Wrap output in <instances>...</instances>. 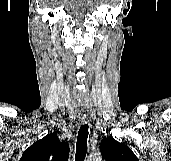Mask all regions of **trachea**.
Segmentation results:
<instances>
[{
	"label": "trachea",
	"instance_id": "3493384b",
	"mask_svg": "<svg viewBox=\"0 0 171 161\" xmlns=\"http://www.w3.org/2000/svg\"><path fill=\"white\" fill-rule=\"evenodd\" d=\"M88 124H83L80 126L76 142V155L75 161H83L85 154L87 152V139L89 134Z\"/></svg>",
	"mask_w": 171,
	"mask_h": 161
}]
</instances>
